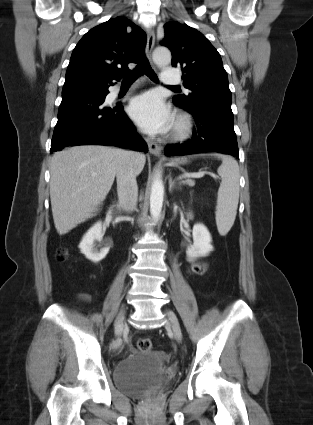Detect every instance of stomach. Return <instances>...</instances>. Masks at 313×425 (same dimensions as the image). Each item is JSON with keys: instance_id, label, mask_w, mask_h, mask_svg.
<instances>
[{"instance_id": "obj_1", "label": "stomach", "mask_w": 313, "mask_h": 425, "mask_svg": "<svg viewBox=\"0 0 313 425\" xmlns=\"http://www.w3.org/2000/svg\"><path fill=\"white\" fill-rule=\"evenodd\" d=\"M172 162L175 164L183 165L187 163V158H176V159H173Z\"/></svg>"}]
</instances>
